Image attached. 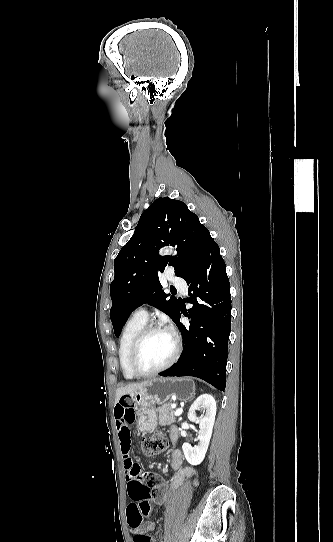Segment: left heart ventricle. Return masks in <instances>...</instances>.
<instances>
[{"instance_id":"obj_1","label":"left heart ventricle","mask_w":333,"mask_h":542,"mask_svg":"<svg viewBox=\"0 0 333 542\" xmlns=\"http://www.w3.org/2000/svg\"><path fill=\"white\" fill-rule=\"evenodd\" d=\"M172 350L173 338L169 332L165 330L153 332L140 347L136 365L144 372L155 370L168 360Z\"/></svg>"}]
</instances>
